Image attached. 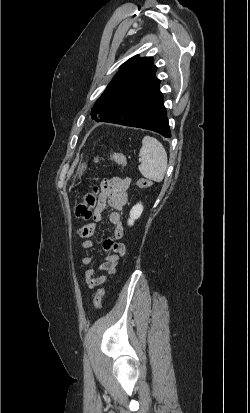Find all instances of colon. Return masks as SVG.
Wrapping results in <instances>:
<instances>
[{
  "label": "colon",
  "instance_id": "5ec220e1",
  "mask_svg": "<svg viewBox=\"0 0 250 413\" xmlns=\"http://www.w3.org/2000/svg\"><path fill=\"white\" fill-rule=\"evenodd\" d=\"M109 159L120 166H126L128 164L127 158L119 153H115L109 156ZM100 158L97 157L95 161H99ZM137 185L140 188H147L151 185V182L148 179L141 178L137 181ZM99 199V187L97 184H94L91 191L87 192L82 201L77 205L75 209L76 218L79 220H86L92 216V211L96 207ZM104 289L100 288L96 291L94 296V305L97 309L102 307V299L104 296Z\"/></svg>",
  "mask_w": 250,
  "mask_h": 413
}]
</instances>
